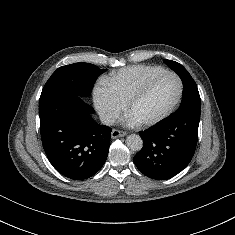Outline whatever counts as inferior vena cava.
I'll use <instances>...</instances> for the list:
<instances>
[{"label": "inferior vena cava", "instance_id": "1", "mask_svg": "<svg viewBox=\"0 0 235 235\" xmlns=\"http://www.w3.org/2000/svg\"><path fill=\"white\" fill-rule=\"evenodd\" d=\"M99 118L103 124L108 126L114 125V123L116 122L115 117L112 114L106 112H100Z\"/></svg>", "mask_w": 235, "mask_h": 235}]
</instances>
